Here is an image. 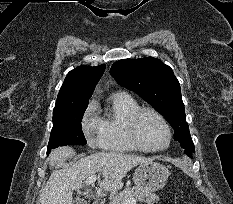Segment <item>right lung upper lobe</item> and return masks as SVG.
I'll return each mask as SVG.
<instances>
[{"label": "right lung upper lobe", "instance_id": "obj_1", "mask_svg": "<svg viewBox=\"0 0 233 204\" xmlns=\"http://www.w3.org/2000/svg\"><path fill=\"white\" fill-rule=\"evenodd\" d=\"M105 65L79 66L70 71L60 88L55 107L88 104Z\"/></svg>", "mask_w": 233, "mask_h": 204}]
</instances>
